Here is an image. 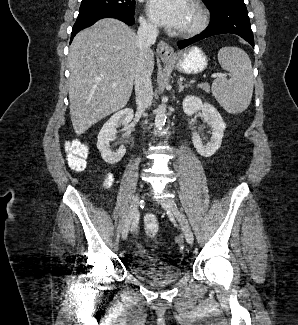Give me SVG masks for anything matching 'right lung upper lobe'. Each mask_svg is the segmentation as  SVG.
<instances>
[{
	"mask_svg": "<svg viewBox=\"0 0 298 325\" xmlns=\"http://www.w3.org/2000/svg\"><path fill=\"white\" fill-rule=\"evenodd\" d=\"M101 12H114V11H112V10H103V11H100V12H97V13H101Z\"/></svg>",
	"mask_w": 298,
	"mask_h": 325,
	"instance_id": "right-lung-upper-lobe-1",
	"label": "right lung upper lobe"
}]
</instances>
